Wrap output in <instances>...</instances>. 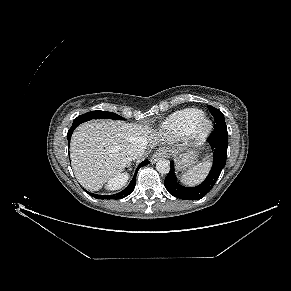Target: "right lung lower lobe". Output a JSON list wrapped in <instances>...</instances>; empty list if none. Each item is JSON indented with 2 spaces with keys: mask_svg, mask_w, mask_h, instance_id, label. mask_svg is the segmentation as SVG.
<instances>
[{
  "mask_svg": "<svg viewBox=\"0 0 291 291\" xmlns=\"http://www.w3.org/2000/svg\"><path fill=\"white\" fill-rule=\"evenodd\" d=\"M79 124L77 123H73L72 124V127L69 129L68 133H67V138H68V143L70 142V138H71V135L74 131V129L78 126ZM149 164V161L145 160L143 162H141L137 169H136V172L130 182V184L128 185L127 188H125L123 191L117 193V194H113V195H98V194H93V193H89L90 195H92L93 197L95 198H98V199H121V198H124L126 196H128L129 194L132 193V191L134 190L135 188V183H136V175H137V172L139 170V168H141L142 166H145Z\"/></svg>",
  "mask_w": 291,
  "mask_h": 291,
  "instance_id": "obj_1",
  "label": "right lung lower lobe"
}]
</instances>
